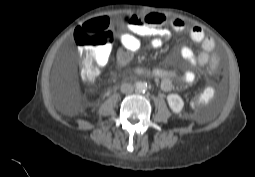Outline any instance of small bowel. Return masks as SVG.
Wrapping results in <instances>:
<instances>
[{"label": "small bowel", "mask_w": 255, "mask_h": 177, "mask_svg": "<svg viewBox=\"0 0 255 177\" xmlns=\"http://www.w3.org/2000/svg\"><path fill=\"white\" fill-rule=\"evenodd\" d=\"M128 32L120 35L121 48L116 53V59L120 66L128 65L135 53L141 48L140 37H149V44L152 48H161L170 37V29L176 32L188 30L191 39L201 44V52L195 54L188 46H181L173 57L180 56L192 68L209 64V70L215 69L219 65V56L215 52V42L212 37L207 36L204 30L197 25L188 27L187 23L180 18H168L159 12H147L141 16L129 15L126 18ZM83 31V26L78 32ZM111 46H107L96 52V58L101 67L105 66L110 59ZM137 72L141 75H151L161 79V88L170 91L174 88L173 78L177 73L173 70L154 68H139ZM196 79L193 69L185 71L181 76L183 84H190ZM180 88H183L181 86Z\"/></svg>", "instance_id": "1"}]
</instances>
